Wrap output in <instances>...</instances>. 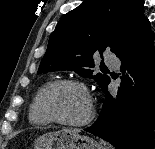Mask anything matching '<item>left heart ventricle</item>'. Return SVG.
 Segmentation results:
<instances>
[{"instance_id":"1","label":"left heart ventricle","mask_w":155,"mask_h":149,"mask_svg":"<svg viewBox=\"0 0 155 149\" xmlns=\"http://www.w3.org/2000/svg\"><path fill=\"white\" fill-rule=\"evenodd\" d=\"M46 104L56 117L67 121H79L88 112L84 93L73 85L53 87L47 94Z\"/></svg>"}]
</instances>
